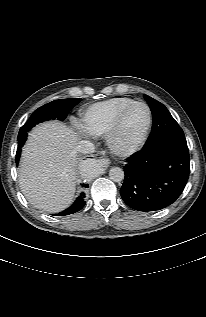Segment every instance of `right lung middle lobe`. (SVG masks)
I'll use <instances>...</instances> for the list:
<instances>
[{"label":"right lung middle lobe","mask_w":206,"mask_h":317,"mask_svg":"<svg viewBox=\"0 0 206 317\" xmlns=\"http://www.w3.org/2000/svg\"><path fill=\"white\" fill-rule=\"evenodd\" d=\"M81 101V98H74V99H60L52 101L48 104H45L35 110V112L31 115V117L28 119L26 124L21 127L19 134H18V149H21L24 145L26 138H27V132L34 127L36 124L50 120V119H59L63 121L69 111L76 106ZM21 150H17L16 153V162L18 163L19 157H20Z\"/></svg>","instance_id":"dd1d6c3e"}]
</instances>
